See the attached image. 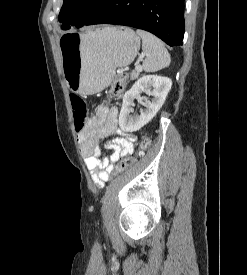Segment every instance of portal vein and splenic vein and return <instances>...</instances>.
Masks as SVG:
<instances>
[{
  "label": "portal vein and splenic vein",
  "mask_w": 247,
  "mask_h": 275,
  "mask_svg": "<svg viewBox=\"0 0 247 275\" xmlns=\"http://www.w3.org/2000/svg\"><path fill=\"white\" fill-rule=\"evenodd\" d=\"M143 57H144V55H142L140 58L142 59ZM135 69H136L137 71H139V72L142 71V67H141L139 64H137V65L135 66Z\"/></svg>",
  "instance_id": "obj_1"
}]
</instances>
